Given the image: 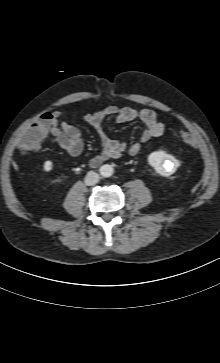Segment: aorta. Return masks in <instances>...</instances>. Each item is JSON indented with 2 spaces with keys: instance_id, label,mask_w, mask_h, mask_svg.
I'll use <instances>...</instances> for the list:
<instances>
[{
  "instance_id": "762f6f07",
  "label": "aorta",
  "mask_w": 220,
  "mask_h": 363,
  "mask_svg": "<svg viewBox=\"0 0 220 363\" xmlns=\"http://www.w3.org/2000/svg\"><path fill=\"white\" fill-rule=\"evenodd\" d=\"M114 172V169L111 165L105 164L100 168V174L103 177H110Z\"/></svg>"
}]
</instances>
